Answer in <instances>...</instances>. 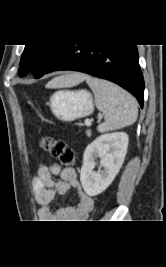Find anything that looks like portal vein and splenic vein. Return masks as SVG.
I'll list each match as a JSON object with an SVG mask.
<instances>
[{"instance_id": "obj_1", "label": "portal vein and splenic vein", "mask_w": 166, "mask_h": 267, "mask_svg": "<svg viewBox=\"0 0 166 267\" xmlns=\"http://www.w3.org/2000/svg\"><path fill=\"white\" fill-rule=\"evenodd\" d=\"M100 117H101V116H100ZM85 125H86V126H90V125H91V120H89V119L85 120Z\"/></svg>"}]
</instances>
